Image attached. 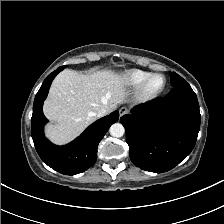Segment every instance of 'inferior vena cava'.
Wrapping results in <instances>:
<instances>
[{
	"label": "inferior vena cava",
	"instance_id": "obj_1",
	"mask_svg": "<svg viewBox=\"0 0 224 224\" xmlns=\"http://www.w3.org/2000/svg\"><path fill=\"white\" fill-rule=\"evenodd\" d=\"M108 114V110H107V108H101L99 111H98V113H97V117H103V116H105V115H107Z\"/></svg>",
	"mask_w": 224,
	"mask_h": 224
}]
</instances>
